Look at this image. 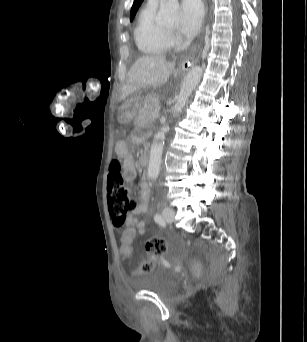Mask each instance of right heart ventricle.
<instances>
[{
  "mask_svg": "<svg viewBox=\"0 0 307 342\" xmlns=\"http://www.w3.org/2000/svg\"><path fill=\"white\" fill-rule=\"evenodd\" d=\"M159 28L155 10L140 13L134 30V43L143 57H154L166 51L159 38Z\"/></svg>",
  "mask_w": 307,
  "mask_h": 342,
  "instance_id": "obj_1",
  "label": "right heart ventricle"
}]
</instances>
